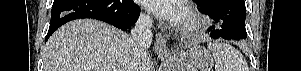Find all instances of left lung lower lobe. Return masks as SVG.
Instances as JSON below:
<instances>
[{
    "mask_svg": "<svg viewBox=\"0 0 301 71\" xmlns=\"http://www.w3.org/2000/svg\"><path fill=\"white\" fill-rule=\"evenodd\" d=\"M201 11L210 16L215 25L208 29L213 39H246L244 0H210L207 5H199Z\"/></svg>",
    "mask_w": 301,
    "mask_h": 71,
    "instance_id": "1",
    "label": "left lung lower lobe"
}]
</instances>
